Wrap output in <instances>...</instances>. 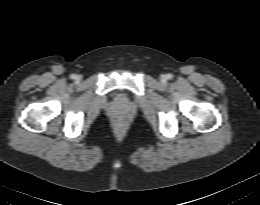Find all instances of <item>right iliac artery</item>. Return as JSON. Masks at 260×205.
Wrapping results in <instances>:
<instances>
[{"mask_svg": "<svg viewBox=\"0 0 260 205\" xmlns=\"http://www.w3.org/2000/svg\"><path fill=\"white\" fill-rule=\"evenodd\" d=\"M76 77H77V76H76L75 74H72V75H71V79H76Z\"/></svg>", "mask_w": 260, "mask_h": 205, "instance_id": "82829eb1", "label": "right iliac artery"}]
</instances>
